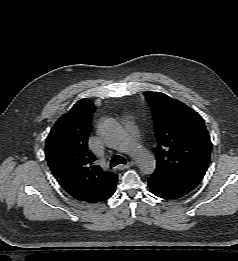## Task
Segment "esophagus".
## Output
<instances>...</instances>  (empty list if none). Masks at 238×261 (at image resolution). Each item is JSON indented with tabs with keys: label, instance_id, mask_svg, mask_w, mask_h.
<instances>
[{
	"label": "esophagus",
	"instance_id": "obj_1",
	"mask_svg": "<svg viewBox=\"0 0 238 261\" xmlns=\"http://www.w3.org/2000/svg\"><path fill=\"white\" fill-rule=\"evenodd\" d=\"M133 165H134V162H133V161H130V162H128V163L125 164V165H119V166L117 167V169H119V170H124V169L130 168V167L133 166Z\"/></svg>",
	"mask_w": 238,
	"mask_h": 261
}]
</instances>
